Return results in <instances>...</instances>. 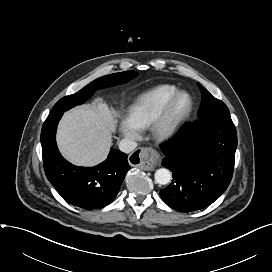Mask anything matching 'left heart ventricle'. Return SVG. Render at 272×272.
<instances>
[{
    "label": "left heart ventricle",
    "instance_id": "1",
    "mask_svg": "<svg viewBox=\"0 0 272 272\" xmlns=\"http://www.w3.org/2000/svg\"><path fill=\"white\" fill-rule=\"evenodd\" d=\"M187 105H188V98L186 96L180 97L176 105V112L177 113L183 112L186 109Z\"/></svg>",
    "mask_w": 272,
    "mask_h": 272
}]
</instances>
